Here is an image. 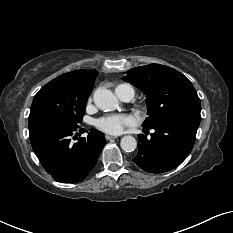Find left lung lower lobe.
I'll list each match as a JSON object with an SVG mask.
<instances>
[{
	"instance_id": "1",
	"label": "left lung lower lobe",
	"mask_w": 233,
	"mask_h": 233,
	"mask_svg": "<svg viewBox=\"0 0 233 233\" xmlns=\"http://www.w3.org/2000/svg\"><path fill=\"white\" fill-rule=\"evenodd\" d=\"M200 121L190 118L165 119L144 127L146 134L154 129L151 138L141 134L138 154L133 161L144 171L162 173L179 166L191 152Z\"/></svg>"
}]
</instances>
